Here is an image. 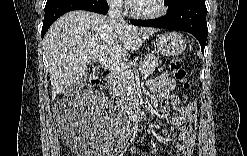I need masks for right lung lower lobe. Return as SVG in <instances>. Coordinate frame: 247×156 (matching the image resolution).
<instances>
[{"instance_id": "98d812e1", "label": "right lung lower lobe", "mask_w": 247, "mask_h": 156, "mask_svg": "<svg viewBox=\"0 0 247 156\" xmlns=\"http://www.w3.org/2000/svg\"><path fill=\"white\" fill-rule=\"evenodd\" d=\"M106 0H51L46 3L42 28V38L50 25L61 15L73 10H87L106 14L108 12Z\"/></svg>"}]
</instances>
